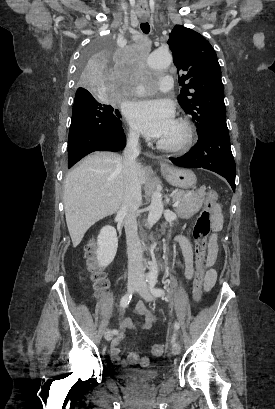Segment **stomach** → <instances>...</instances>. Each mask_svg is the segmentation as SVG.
I'll return each instance as SVG.
<instances>
[{"instance_id":"stomach-1","label":"stomach","mask_w":275,"mask_h":409,"mask_svg":"<svg viewBox=\"0 0 275 409\" xmlns=\"http://www.w3.org/2000/svg\"><path fill=\"white\" fill-rule=\"evenodd\" d=\"M161 170L168 182L173 186H179V188H191L196 184V176L193 170L189 168H176V166H161Z\"/></svg>"}]
</instances>
